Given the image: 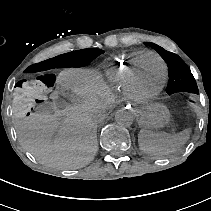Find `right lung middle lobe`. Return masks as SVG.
Here are the masks:
<instances>
[{
	"instance_id": "obj_1",
	"label": "right lung middle lobe",
	"mask_w": 211,
	"mask_h": 211,
	"mask_svg": "<svg viewBox=\"0 0 211 211\" xmlns=\"http://www.w3.org/2000/svg\"><path fill=\"white\" fill-rule=\"evenodd\" d=\"M104 53L101 49H83L74 52L81 60L82 65H88L92 60H94L97 56Z\"/></svg>"
}]
</instances>
